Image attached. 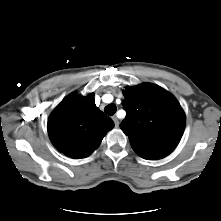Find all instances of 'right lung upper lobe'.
Returning <instances> with one entry per match:
<instances>
[{
  "label": "right lung upper lobe",
  "instance_id": "cb5924a9",
  "mask_svg": "<svg viewBox=\"0 0 221 221\" xmlns=\"http://www.w3.org/2000/svg\"><path fill=\"white\" fill-rule=\"evenodd\" d=\"M114 122L94 102V94L67 96L48 120V134L53 145L71 158H85L97 149Z\"/></svg>",
  "mask_w": 221,
  "mask_h": 221
}]
</instances>
